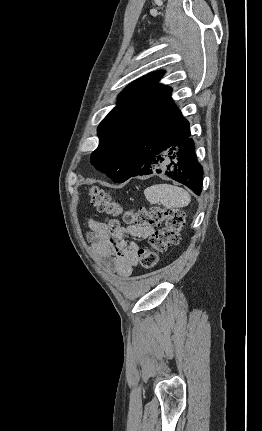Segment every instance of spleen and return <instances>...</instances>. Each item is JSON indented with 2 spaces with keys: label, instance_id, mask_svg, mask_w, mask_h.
Listing matches in <instances>:
<instances>
[{
  "label": "spleen",
  "instance_id": "3e777b00",
  "mask_svg": "<svg viewBox=\"0 0 262 431\" xmlns=\"http://www.w3.org/2000/svg\"><path fill=\"white\" fill-rule=\"evenodd\" d=\"M144 195L151 204H162L168 208H182L191 201L189 193L170 184H156L145 189Z\"/></svg>",
  "mask_w": 262,
  "mask_h": 431
}]
</instances>
